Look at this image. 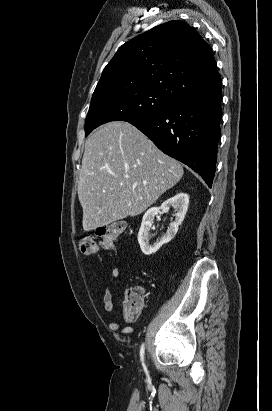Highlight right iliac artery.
I'll return each instance as SVG.
<instances>
[{"instance_id": "82829eb1", "label": "right iliac artery", "mask_w": 272, "mask_h": 411, "mask_svg": "<svg viewBox=\"0 0 272 411\" xmlns=\"http://www.w3.org/2000/svg\"><path fill=\"white\" fill-rule=\"evenodd\" d=\"M144 349H145L144 344H142L141 349H140V359H141L143 366H144Z\"/></svg>"}]
</instances>
